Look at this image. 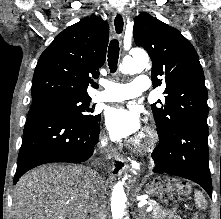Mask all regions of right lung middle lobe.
<instances>
[{
  "mask_svg": "<svg viewBox=\"0 0 221 219\" xmlns=\"http://www.w3.org/2000/svg\"><path fill=\"white\" fill-rule=\"evenodd\" d=\"M89 99L48 98L32 102L30 110H45L64 114L69 118L83 124L95 125L100 115H91L93 109L89 108Z\"/></svg>",
  "mask_w": 221,
  "mask_h": 219,
  "instance_id": "right-lung-middle-lobe-1",
  "label": "right lung middle lobe"
}]
</instances>
